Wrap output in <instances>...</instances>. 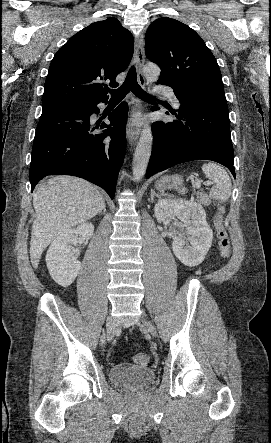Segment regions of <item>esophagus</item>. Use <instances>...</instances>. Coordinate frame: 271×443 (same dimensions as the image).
Returning <instances> with one entry per match:
<instances>
[{"mask_svg": "<svg viewBox=\"0 0 271 443\" xmlns=\"http://www.w3.org/2000/svg\"><path fill=\"white\" fill-rule=\"evenodd\" d=\"M134 63L137 71V78L139 84L145 86V78L143 76V66L145 63V50H144V36L140 34L136 39L134 45ZM142 106L138 100L133 101V107L131 111V117L128 120L126 127V137L130 146H133L137 141L142 124Z\"/></svg>", "mask_w": 271, "mask_h": 443, "instance_id": "34e87169", "label": "esophagus"}]
</instances>
